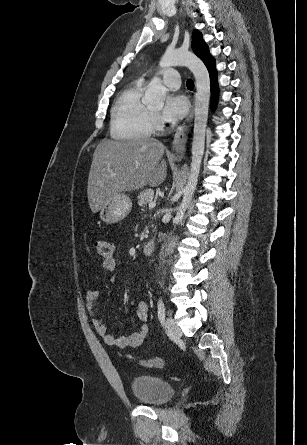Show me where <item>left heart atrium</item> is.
I'll use <instances>...</instances> for the list:
<instances>
[{"label":"left heart atrium","instance_id":"1","mask_svg":"<svg viewBox=\"0 0 307 445\" xmlns=\"http://www.w3.org/2000/svg\"><path fill=\"white\" fill-rule=\"evenodd\" d=\"M187 112V99L176 91H169L164 100L163 118L169 122H176L181 120Z\"/></svg>","mask_w":307,"mask_h":445}]
</instances>
